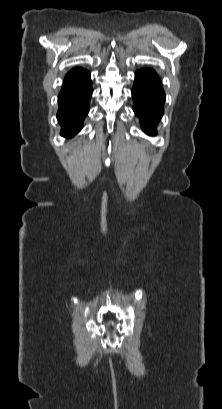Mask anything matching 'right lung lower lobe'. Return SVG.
<instances>
[{
    "mask_svg": "<svg viewBox=\"0 0 222 409\" xmlns=\"http://www.w3.org/2000/svg\"><path fill=\"white\" fill-rule=\"evenodd\" d=\"M65 86L59 93L57 119L64 137H72L82 129V122L89 112V101L93 89L88 71L68 73Z\"/></svg>",
    "mask_w": 222,
    "mask_h": 409,
    "instance_id": "1",
    "label": "right lung lower lobe"
}]
</instances>
